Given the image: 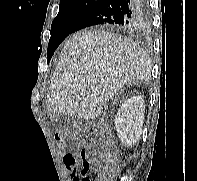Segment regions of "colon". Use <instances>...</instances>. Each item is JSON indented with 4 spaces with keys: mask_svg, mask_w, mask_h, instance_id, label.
Returning <instances> with one entry per match:
<instances>
[{
    "mask_svg": "<svg viewBox=\"0 0 197 181\" xmlns=\"http://www.w3.org/2000/svg\"><path fill=\"white\" fill-rule=\"evenodd\" d=\"M86 133L96 136V129L93 126L86 128ZM58 139H63V133H57ZM82 161V171L78 181H112L118 162L112 149L95 152L92 155L88 151H83L80 155Z\"/></svg>",
    "mask_w": 197,
    "mask_h": 181,
    "instance_id": "obj_1",
    "label": "colon"
}]
</instances>
